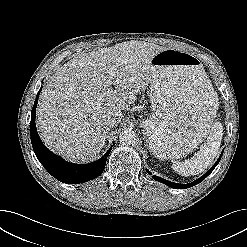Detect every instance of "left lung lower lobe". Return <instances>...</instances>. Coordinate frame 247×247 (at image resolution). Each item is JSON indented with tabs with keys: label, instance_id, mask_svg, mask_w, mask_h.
Instances as JSON below:
<instances>
[{
	"label": "left lung lower lobe",
	"instance_id": "obj_1",
	"mask_svg": "<svg viewBox=\"0 0 247 247\" xmlns=\"http://www.w3.org/2000/svg\"><path fill=\"white\" fill-rule=\"evenodd\" d=\"M223 152L221 153L220 157L218 158V160L216 161V163L211 167L210 170H208L202 177L198 178L197 180H195L194 182L188 183V184H178V183H174V182H170L168 180H165L163 178L157 177V176H153V179L164 183L165 185L171 187V188H175V189H186L192 186L197 185L198 183H200L201 181H203L216 167V165L218 164V162L220 161L221 157H222ZM148 172V174L151 175V173L146 170Z\"/></svg>",
	"mask_w": 247,
	"mask_h": 247
}]
</instances>
